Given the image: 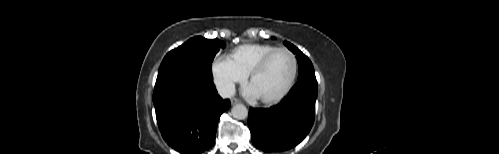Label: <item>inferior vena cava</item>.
Listing matches in <instances>:
<instances>
[{
    "label": "inferior vena cava",
    "instance_id": "1",
    "mask_svg": "<svg viewBox=\"0 0 499 154\" xmlns=\"http://www.w3.org/2000/svg\"><path fill=\"white\" fill-rule=\"evenodd\" d=\"M217 90L222 98H229L235 94V87L232 84L220 85Z\"/></svg>",
    "mask_w": 499,
    "mask_h": 154
}]
</instances>
